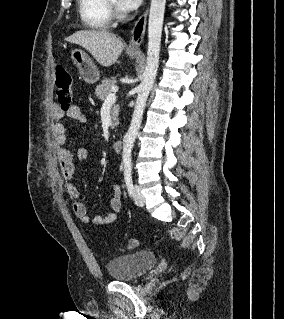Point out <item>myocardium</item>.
Listing matches in <instances>:
<instances>
[{
  "label": "myocardium",
  "instance_id": "obj_1",
  "mask_svg": "<svg viewBox=\"0 0 284 319\" xmlns=\"http://www.w3.org/2000/svg\"><path fill=\"white\" fill-rule=\"evenodd\" d=\"M108 8L110 10L111 15L114 18L121 19L123 18L124 14L121 12V10L113 3L112 0H106Z\"/></svg>",
  "mask_w": 284,
  "mask_h": 319
}]
</instances>
